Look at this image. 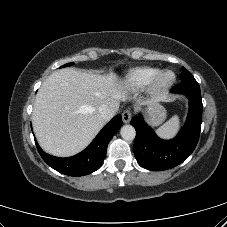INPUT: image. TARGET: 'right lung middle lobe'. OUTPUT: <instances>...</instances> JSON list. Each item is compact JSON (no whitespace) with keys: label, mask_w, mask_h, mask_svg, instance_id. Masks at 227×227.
Masks as SVG:
<instances>
[{"label":"right lung middle lobe","mask_w":227,"mask_h":227,"mask_svg":"<svg viewBox=\"0 0 227 227\" xmlns=\"http://www.w3.org/2000/svg\"><path fill=\"white\" fill-rule=\"evenodd\" d=\"M73 63H67V64H65V65H63V66H61V67H68V66H71Z\"/></svg>","instance_id":"right-lung-middle-lobe-1"}]
</instances>
